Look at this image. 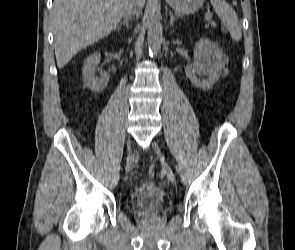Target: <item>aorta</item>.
Listing matches in <instances>:
<instances>
[{
    "label": "aorta",
    "instance_id": "762f6f07",
    "mask_svg": "<svg viewBox=\"0 0 295 250\" xmlns=\"http://www.w3.org/2000/svg\"><path fill=\"white\" fill-rule=\"evenodd\" d=\"M148 31L147 41L149 54L155 56L158 54L163 42L162 24L160 17L156 13H151L147 20Z\"/></svg>",
    "mask_w": 295,
    "mask_h": 250
}]
</instances>
